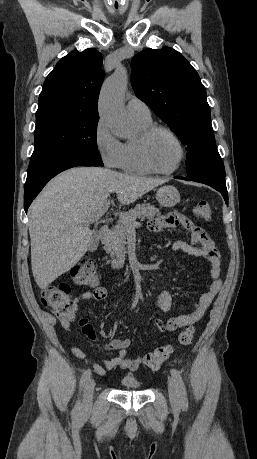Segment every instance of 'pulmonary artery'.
Wrapping results in <instances>:
<instances>
[{
  "instance_id": "1",
  "label": "pulmonary artery",
  "mask_w": 257,
  "mask_h": 459,
  "mask_svg": "<svg viewBox=\"0 0 257 459\" xmlns=\"http://www.w3.org/2000/svg\"><path fill=\"white\" fill-rule=\"evenodd\" d=\"M127 111L131 117L148 120L151 119L149 107L139 98L132 97L127 103Z\"/></svg>"
}]
</instances>
